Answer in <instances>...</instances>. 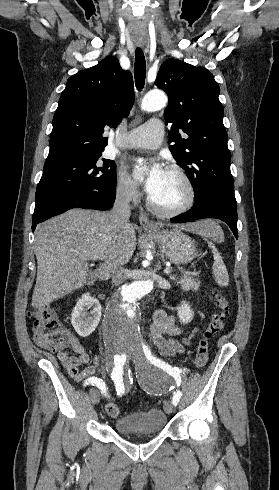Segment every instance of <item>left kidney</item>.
Returning <instances> with one entry per match:
<instances>
[{"label":"left kidney","mask_w":279,"mask_h":490,"mask_svg":"<svg viewBox=\"0 0 279 490\" xmlns=\"http://www.w3.org/2000/svg\"><path fill=\"white\" fill-rule=\"evenodd\" d=\"M177 310V316L179 318V322L181 324H190L194 318V312L189 304V302H181L180 306L176 308Z\"/></svg>","instance_id":"1"}]
</instances>
